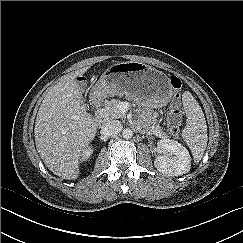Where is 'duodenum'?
Instances as JSON below:
<instances>
[{
	"label": "duodenum",
	"instance_id": "410a0bca",
	"mask_svg": "<svg viewBox=\"0 0 243 243\" xmlns=\"http://www.w3.org/2000/svg\"><path fill=\"white\" fill-rule=\"evenodd\" d=\"M95 106H96V111H95V114H94V120L97 122V123H102L104 118H105V115H104V112L102 110V106H103V99L100 97V96H97L95 98Z\"/></svg>",
	"mask_w": 243,
	"mask_h": 243
}]
</instances>
